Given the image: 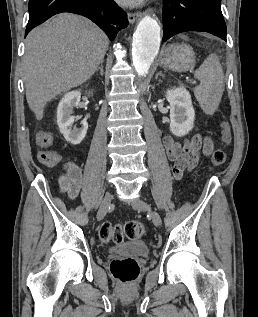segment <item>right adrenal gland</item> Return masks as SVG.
<instances>
[{"label": "right adrenal gland", "instance_id": "2a0ac1e0", "mask_svg": "<svg viewBox=\"0 0 258 317\" xmlns=\"http://www.w3.org/2000/svg\"><path fill=\"white\" fill-rule=\"evenodd\" d=\"M96 70H100V74H104L103 60H102V62H100V66H98V68H96Z\"/></svg>", "mask_w": 258, "mask_h": 317}]
</instances>
